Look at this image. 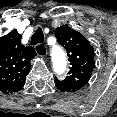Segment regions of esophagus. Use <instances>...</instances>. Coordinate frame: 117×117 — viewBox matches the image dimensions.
Here are the masks:
<instances>
[{"mask_svg":"<svg viewBox=\"0 0 117 117\" xmlns=\"http://www.w3.org/2000/svg\"><path fill=\"white\" fill-rule=\"evenodd\" d=\"M37 46H41V48L39 49V51H37V49H36V52H37V54L40 56V57H46L47 56V48H46V46L45 45H43V44H38ZM36 46V47H37Z\"/></svg>","mask_w":117,"mask_h":117,"instance_id":"esophagus-1","label":"esophagus"}]
</instances>
